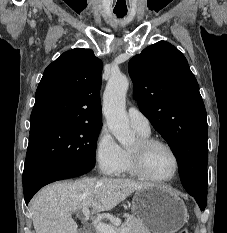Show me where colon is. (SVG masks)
<instances>
[{
    "mask_svg": "<svg viewBox=\"0 0 227 233\" xmlns=\"http://www.w3.org/2000/svg\"><path fill=\"white\" fill-rule=\"evenodd\" d=\"M178 233H190L188 228H182L178 231Z\"/></svg>",
    "mask_w": 227,
    "mask_h": 233,
    "instance_id": "colon-1",
    "label": "colon"
}]
</instances>
